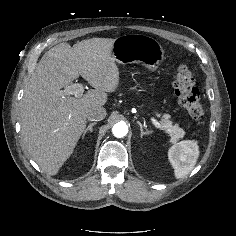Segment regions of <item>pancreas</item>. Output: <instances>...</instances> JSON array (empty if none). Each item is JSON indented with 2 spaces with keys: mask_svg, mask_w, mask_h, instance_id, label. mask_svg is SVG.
Returning <instances> with one entry per match:
<instances>
[{
  "mask_svg": "<svg viewBox=\"0 0 236 236\" xmlns=\"http://www.w3.org/2000/svg\"><path fill=\"white\" fill-rule=\"evenodd\" d=\"M162 129L168 133L171 137L172 142H176L180 138H182L185 134L184 130L180 128L178 125H172L171 121H169V115L164 114L163 119L161 121Z\"/></svg>",
  "mask_w": 236,
  "mask_h": 236,
  "instance_id": "1",
  "label": "pancreas"
}]
</instances>
